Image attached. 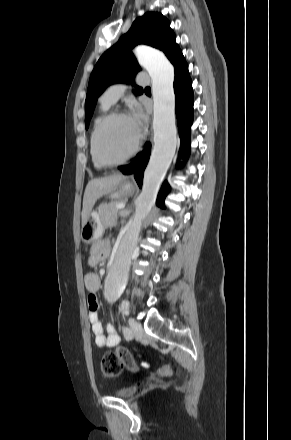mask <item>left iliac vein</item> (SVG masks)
<instances>
[{
    "instance_id": "obj_1",
    "label": "left iliac vein",
    "mask_w": 291,
    "mask_h": 440,
    "mask_svg": "<svg viewBox=\"0 0 291 440\" xmlns=\"http://www.w3.org/2000/svg\"><path fill=\"white\" fill-rule=\"evenodd\" d=\"M129 325L132 332V336L131 338H127V339H132L133 337H135L137 340H141L144 336L142 326L133 319H129Z\"/></svg>"
}]
</instances>
